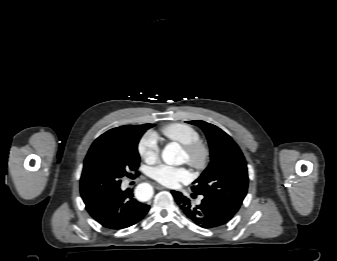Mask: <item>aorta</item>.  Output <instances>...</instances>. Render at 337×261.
<instances>
[{"label":"aorta","mask_w":337,"mask_h":261,"mask_svg":"<svg viewBox=\"0 0 337 261\" xmlns=\"http://www.w3.org/2000/svg\"><path fill=\"white\" fill-rule=\"evenodd\" d=\"M162 159L168 165H181L183 163V151L181 146L172 142L165 146L162 151ZM136 198L141 201L149 200L153 195L152 186L148 183H141L135 189Z\"/></svg>","instance_id":"aorta-1"}]
</instances>
